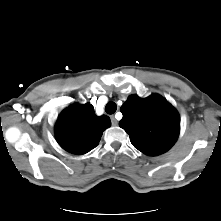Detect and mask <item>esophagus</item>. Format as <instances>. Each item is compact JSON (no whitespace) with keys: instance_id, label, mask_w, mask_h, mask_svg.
<instances>
[{"instance_id":"1","label":"esophagus","mask_w":221,"mask_h":221,"mask_svg":"<svg viewBox=\"0 0 221 221\" xmlns=\"http://www.w3.org/2000/svg\"><path fill=\"white\" fill-rule=\"evenodd\" d=\"M110 119H111L112 125L116 126V125L118 124V121H117V119H116L115 116L112 115V116L110 117Z\"/></svg>"}]
</instances>
